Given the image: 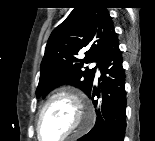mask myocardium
I'll return each mask as SVG.
<instances>
[{
    "instance_id": "1",
    "label": "myocardium",
    "mask_w": 155,
    "mask_h": 141,
    "mask_svg": "<svg viewBox=\"0 0 155 141\" xmlns=\"http://www.w3.org/2000/svg\"><path fill=\"white\" fill-rule=\"evenodd\" d=\"M59 98H64L69 100L75 110H76V118H77V124L75 127L66 133L64 136H62L58 141H65L69 139L70 137H73L74 135L80 133L81 131L85 130L89 125L92 123L93 120V112L91 107L85 102V100L80 97L79 95L67 91V90H61L57 91L50 96H48L45 101L42 103L38 114L36 118V132H37V137L41 140H44L41 135V130H40V124H41V119L43 116V113L45 109L56 99Z\"/></svg>"
}]
</instances>
